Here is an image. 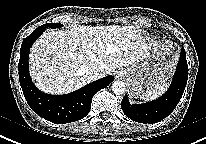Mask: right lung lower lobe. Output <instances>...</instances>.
Listing matches in <instances>:
<instances>
[{"label":"right lung lower lobe","mask_w":206,"mask_h":144,"mask_svg":"<svg viewBox=\"0 0 206 144\" xmlns=\"http://www.w3.org/2000/svg\"><path fill=\"white\" fill-rule=\"evenodd\" d=\"M44 31L45 28L38 27L22 42L18 70L23 94L32 110L50 122L63 124L78 121L88 115L95 93L107 87L114 80V77L101 78L65 95L42 93L31 81L28 71V57L30 47Z\"/></svg>","instance_id":"98d812e1"}]
</instances>
